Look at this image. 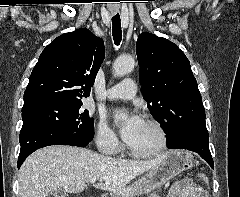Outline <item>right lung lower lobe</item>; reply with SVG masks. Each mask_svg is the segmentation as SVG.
<instances>
[{"mask_svg": "<svg viewBox=\"0 0 240 197\" xmlns=\"http://www.w3.org/2000/svg\"><path fill=\"white\" fill-rule=\"evenodd\" d=\"M20 154L18 168L24 160L35 150L49 145H71L85 147L90 141L82 140L71 132L60 127L45 124L27 122L20 131Z\"/></svg>", "mask_w": 240, "mask_h": 197, "instance_id": "obj_1", "label": "right lung lower lobe"}]
</instances>
